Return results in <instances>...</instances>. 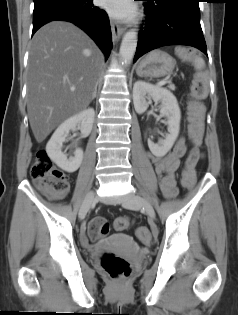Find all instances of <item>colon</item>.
I'll return each mask as SVG.
<instances>
[{
	"mask_svg": "<svg viewBox=\"0 0 238 315\" xmlns=\"http://www.w3.org/2000/svg\"><path fill=\"white\" fill-rule=\"evenodd\" d=\"M180 56L186 60H193L196 54L188 49H182ZM207 93V85L204 78L199 77L194 83L191 100L189 103V136L191 141L198 145L200 143L204 129V106L201 100ZM30 174L38 187L52 197L63 196L69 189L68 176L58 169L45 151H39L31 166ZM194 179L185 172L182 176V184L190 188ZM129 226L127 218H118L115 222L117 230H125ZM109 232L108 222L101 217L93 218L88 226V233L91 238L97 239L107 235ZM137 236L143 240H149L150 234L146 227L137 230ZM101 266L113 280H123L131 274V266L125 259L113 254L105 253L101 257Z\"/></svg>",
	"mask_w": 238,
	"mask_h": 315,
	"instance_id": "1",
	"label": "colon"
}]
</instances>
